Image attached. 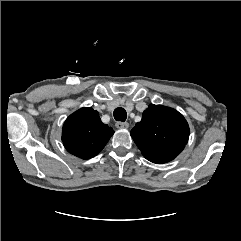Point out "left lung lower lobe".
I'll return each mask as SVG.
<instances>
[{
    "label": "left lung lower lobe",
    "mask_w": 241,
    "mask_h": 241,
    "mask_svg": "<svg viewBox=\"0 0 241 241\" xmlns=\"http://www.w3.org/2000/svg\"><path fill=\"white\" fill-rule=\"evenodd\" d=\"M149 161L156 163V164H162V163H166L169 162L170 160H166V159H148Z\"/></svg>",
    "instance_id": "1"
}]
</instances>
